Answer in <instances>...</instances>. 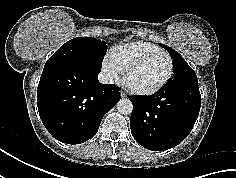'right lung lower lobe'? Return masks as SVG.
<instances>
[{
  "mask_svg": "<svg viewBox=\"0 0 236 178\" xmlns=\"http://www.w3.org/2000/svg\"><path fill=\"white\" fill-rule=\"evenodd\" d=\"M100 70L86 61L45 64L37 106L44 126L58 141L81 144L89 140L104 115L120 100L118 87L98 81Z\"/></svg>",
  "mask_w": 236,
  "mask_h": 178,
  "instance_id": "1",
  "label": "right lung lower lobe"
}]
</instances>
